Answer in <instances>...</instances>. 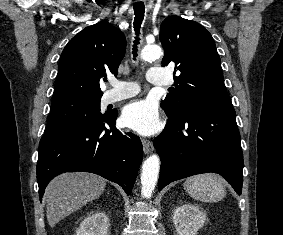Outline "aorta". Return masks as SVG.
I'll use <instances>...</instances> for the list:
<instances>
[{"instance_id":"762f6f07","label":"aorta","mask_w":283,"mask_h":235,"mask_svg":"<svg viewBox=\"0 0 283 235\" xmlns=\"http://www.w3.org/2000/svg\"><path fill=\"white\" fill-rule=\"evenodd\" d=\"M162 49L158 45H147L141 51V59L154 61L162 56ZM160 159L158 155L149 156L142 165L141 171V195L150 198L159 176Z\"/></svg>"}]
</instances>
